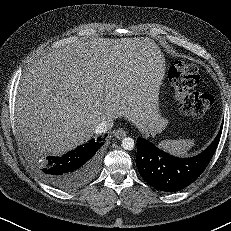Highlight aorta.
<instances>
[{"instance_id":"aorta-1","label":"aorta","mask_w":231,"mask_h":231,"mask_svg":"<svg viewBox=\"0 0 231 231\" xmlns=\"http://www.w3.org/2000/svg\"><path fill=\"white\" fill-rule=\"evenodd\" d=\"M135 146V142L132 138L130 137H125L122 140V147L125 150H132Z\"/></svg>"}]
</instances>
